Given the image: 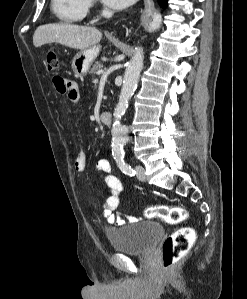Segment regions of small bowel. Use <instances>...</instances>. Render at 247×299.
Here are the masks:
<instances>
[{"instance_id":"1","label":"small bowel","mask_w":247,"mask_h":299,"mask_svg":"<svg viewBox=\"0 0 247 299\" xmlns=\"http://www.w3.org/2000/svg\"><path fill=\"white\" fill-rule=\"evenodd\" d=\"M53 84L59 93L65 94L67 98L72 102H78L79 89L76 82L68 80L66 78L55 76L53 77ZM76 171L82 173L87 167V158L83 150H80L75 159ZM97 171L102 175L103 181L109 188V196L102 203L103 214L107 218L108 222L116 225H123L126 220L121 216L114 214V211L120 204L121 195L123 192V184L118 177L112 173L111 164L107 159H100L96 165ZM136 217H130V222H136Z\"/></svg>"}]
</instances>
